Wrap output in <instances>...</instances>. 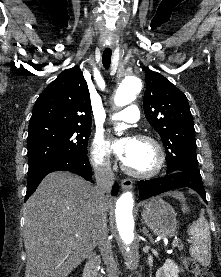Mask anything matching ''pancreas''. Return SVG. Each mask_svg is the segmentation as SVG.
Returning a JSON list of instances; mask_svg holds the SVG:
<instances>
[{"label":"pancreas","instance_id":"1","mask_svg":"<svg viewBox=\"0 0 221 277\" xmlns=\"http://www.w3.org/2000/svg\"><path fill=\"white\" fill-rule=\"evenodd\" d=\"M179 249L182 250V249H183V246H179Z\"/></svg>","mask_w":221,"mask_h":277}]
</instances>
